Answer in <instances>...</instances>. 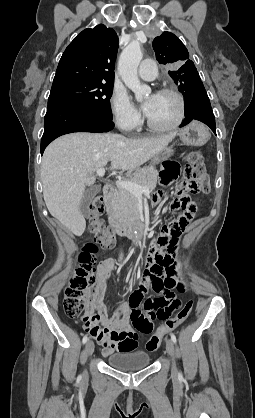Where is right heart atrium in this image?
Wrapping results in <instances>:
<instances>
[{
	"mask_svg": "<svg viewBox=\"0 0 255 418\" xmlns=\"http://www.w3.org/2000/svg\"><path fill=\"white\" fill-rule=\"evenodd\" d=\"M111 112L118 126L124 130H132L140 124L138 110L122 90L114 91L111 97Z\"/></svg>",
	"mask_w": 255,
	"mask_h": 418,
	"instance_id": "1",
	"label": "right heart atrium"
}]
</instances>
